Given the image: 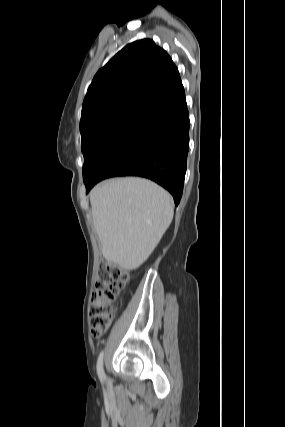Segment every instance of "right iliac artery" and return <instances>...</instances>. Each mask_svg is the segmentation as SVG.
<instances>
[{"label": "right iliac artery", "instance_id": "82829eb1", "mask_svg": "<svg viewBox=\"0 0 285 427\" xmlns=\"http://www.w3.org/2000/svg\"><path fill=\"white\" fill-rule=\"evenodd\" d=\"M97 373L99 376V379L101 381L106 379L104 370H103V351L100 353L99 357H98V361H97Z\"/></svg>", "mask_w": 285, "mask_h": 427}]
</instances>
